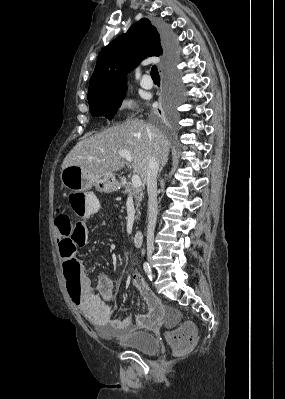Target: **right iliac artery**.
<instances>
[{
	"mask_svg": "<svg viewBox=\"0 0 285 399\" xmlns=\"http://www.w3.org/2000/svg\"><path fill=\"white\" fill-rule=\"evenodd\" d=\"M143 269H144V271H145L147 274H150L151 269H150V266H149V264H148L147 262H144V264H143Z\"/></svg>",
	"mask_w": 285,
	"mask_h": 399,
	"instance_id": "82829eb1",
	"label": "right iliac artery"
}]
</instances>
